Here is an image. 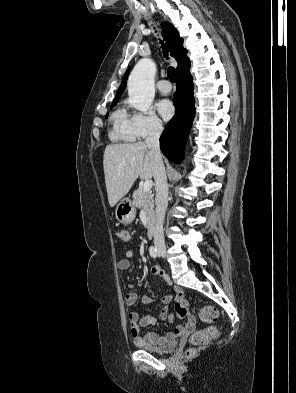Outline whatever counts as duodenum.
I'll return each mask as SVG.
<instances>
[{
  "mask_svg": "<svg viewBox=\"0 0 296 393\" xmlns=\"http://www.w3.org/2000/svg\"><path fill=\"white\" fill-rule=\"evenodd\" d=\"M149 234H150L151 236H153V235L155 234V227H154V226H151V227H150V229H149Z\"/></svg>",
  "mask_w": 296,
  "mask_h": 393,
  "instance_id": "410a0bca",
  "label": "duodenum"
}]
</instances>
